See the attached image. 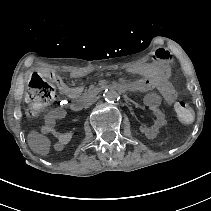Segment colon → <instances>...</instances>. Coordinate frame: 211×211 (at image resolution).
<instances>
[{
    "instance_id": "1",
    "label": "colon",
    "mask_w": 211,
    "mask_h": 211,
    "mask_svg": "<svg viewBox=\"0 0 211 211\" xmlns=\"http://www.w3.org/2000/svg\"><path fill=\"white\" fill-rule=\"evenodd\" d=\"M167 60L169 54H166ZM56 91L53 83L45 76L33 73L29 77L28 93L26 100L31 105L27 109L29 117H36L39 111L56 100ZM174 111L177 118L184 124H190L195 118L193 108L185 102L178 101L174 104Z\"/></svg>"
}]
</instances>
